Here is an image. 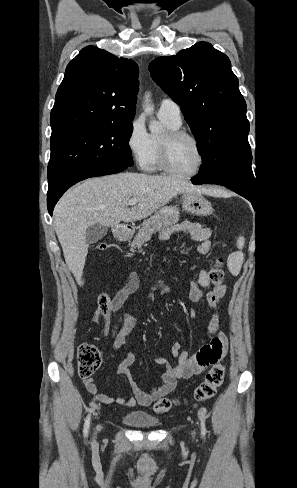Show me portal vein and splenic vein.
I'll use <instances>...</instances> for the list:
<instances>
[{
	"mask_svg": "<svg viewBox=\"0 0 297 488\" xmlns=\"http://www.w3.org/2000/svg\"><path fill=\"white\" fill-rule=\"evenodd\" d=\"M139 200L140 199H138V198H132L129 200L128 205L134 206L135 204H137L139 202Z\"/></svg>",
	"mask_w": 297,
	"mask_h": 488,
	"instance_id": "18ae733b",
	"label": "portal vein and splenic vein"
}]
</instances>
